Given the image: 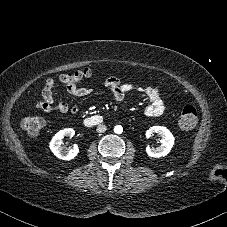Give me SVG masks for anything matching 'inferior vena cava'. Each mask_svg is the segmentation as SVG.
Masks as SVG:
<instances>
[{
    "instance_id": "obj_1",
    "label": "inferior vena cava",
    "mask_w": 227,
    "mask_h": 227,
    "mask_svg": "<svg viewBox=\"0 0 227 227\" xmlns=\"http://www.w3.org/2000/svg\"><path fill=\"white\" fill-rule=\"evenodd\" d=\"M107 130V127L105 126V125H98V127H97V129H96V131L98 132V133H103V132H105Z\"/></svg>"
}]
</instances>
